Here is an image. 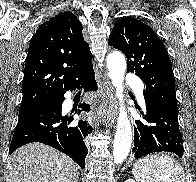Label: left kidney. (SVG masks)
I'll list each match as a JSON object with an SVG mask.
<instances>
[{
  "label": "left kidney",
  "instance_id": "obj_1",
  "mask_svg": "<svg viewBox=\"0 0 196 182\" xmlns=\"http://www.w3.org/2000/svg\"><path fill=\"white\" fill-rule=\"evenodd\" d=\"M125 182H135L133 179H127Z\"/></svg>",
  "mask_w": 196,
  "mask_h": 182
}]
</instances>
